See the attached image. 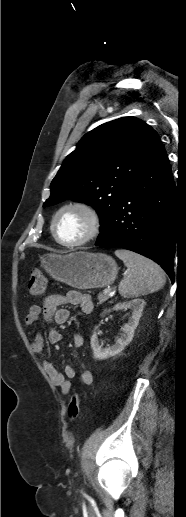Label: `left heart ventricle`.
Instances as JSON below:
<instances>
[{
  "label": "left heart ventricle",
  "instance_id": "obj_1",
  "mask_svg": "<svg viewBox=\"0 0 186 517\" xmlns=\"http://www.w3.org/2000/svg\"><path fill=\"white\" fill-rule=\"evenodd\" d=\"M88 227V219L81 211L67 210L57 220L56 233L64 242H75L85 235Z\"/></svg>",
  "mask_w": 186,
  "mask_h": 517
}]
</instances>
